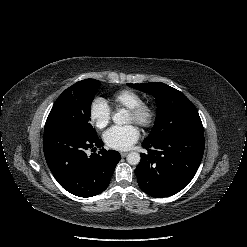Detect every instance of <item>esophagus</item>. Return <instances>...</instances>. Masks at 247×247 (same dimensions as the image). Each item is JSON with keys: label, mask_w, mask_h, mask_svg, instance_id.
Listing matches in <instances>:
<instances>
[{"label": "esophagus", "mask_w": 247, "mask_h": 247, "mask_svg": "<svg viewBox=\"0 0 247 247\" xmlns=\"http://www.w3.org/2000/svg\"><path fill=\"white\" fill-rule=\"evenodd\" d=\"M122 157H125L128 153L127 152H120Z\"/></svg>", "instance_id": "esophagus-1"}]
</instances>
